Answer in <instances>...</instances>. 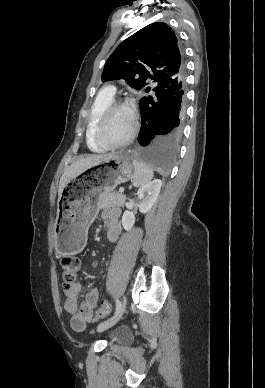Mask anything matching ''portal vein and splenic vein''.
Returning <instances> with one entry per match:
<instances>
[{"label": "portal vein and splenic vein", "instance_id": "18ae733b", "mask_svg": "<svg viewBox=\"0 0 265 388\" xmlns=\"http://www.w3.org/2000/svg\"><path fill=\"white\" fill-rule=\"evenodd\" d=\"M119 192H124V188H119Z\"/></svg>", "mask_w": 265, "mask_h": 388}]
</instances>
